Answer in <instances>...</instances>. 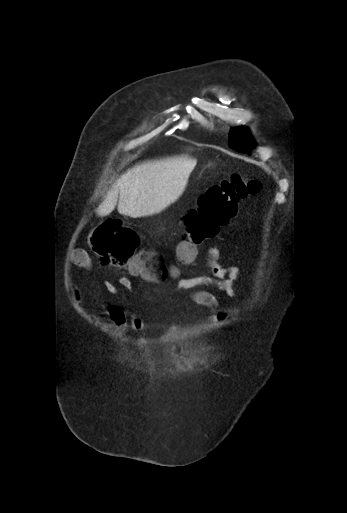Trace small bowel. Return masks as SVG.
I'll use <instances>...</instances> for the list:
<instances>
[{"label":"small bowel","mask_w":347,"mask_h":513,"mask_svg":"<svg viewBox=\"0 0 347 513\" xmlns=\"http://www.w3.org/2000/svg\"><path fill=\"white\" fill-rule=\"evenodd\" d=\"M221 239V238H219ZM220 250L218 246L208 249L205 256L206 266L209 275L192 278H180L177 269L172 270L171 276L176 278V290L178 292H188L194 304L203 307L208 311L212 320H221L228 317L229 313L221 311L218 307V300L210 289H216L223 292L230 298L240 299L242 297L241 287L239 285L243 271L235 265H221L218 262ZM71 263L84 270H90L91 261L88 254L83 250H76L71 256ZM119 283L126 289H131L132 282L128 277H121ZM105 290L110 294H117L115 286L105 284ZM71 294L73 299L81 303L82 293L75 284L71 285ZM103 319L108 320L122 332H145L148 325L139 315H128L124 310L115 305L108 304L101 312ZM174 324H169L168 328H174Z\"/></svg>","instance_id":"c3829d8e"}]
</instances>
